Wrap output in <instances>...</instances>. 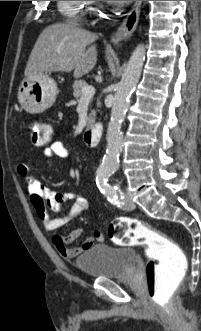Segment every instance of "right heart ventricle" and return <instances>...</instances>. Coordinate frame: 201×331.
Here are the masks:
<instances>
[{"label":"right heart ventricle","instance_id":"e07e8e85","mask_svg":"<svg viewBox=\"0 0 201 331\" xmlns=\"http://www.w3.org/2000/svg\"><path fill=\"white\" fill-rule=\"evenodd\" d=\"M58 8L66 20L79 23L86 9V1H58Z\"/></svg>","mask_w":201,"mask_h":331}]
</instances>
